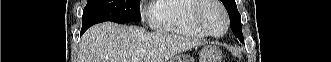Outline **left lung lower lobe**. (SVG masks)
<instances>
[{
	"label": "left lung lower lobe",
	"instance_id": "obj_1",
	"mask_svg": "<svg viewBox=\"0 0 331 62\" xmlns=\"http://www.w3.org/2000/svg\"><path fill=\"white\" fill-rule=\"evenodd\" d=\"M231 29L233 31V33L235 34L236 37L239 38L240 41L243 42V35H242V32L239 31L236 27H234L233 25H231Z\"/></svg>",
	"mask_w": 331,
	"mask_h": 62
}]
</instances>
